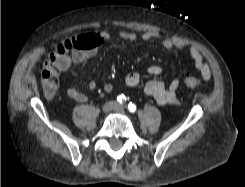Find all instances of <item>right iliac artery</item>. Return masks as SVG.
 I'll use <instances>...</instances> for the list:
<instances>
[{
  "label": "right iliac artery",
  "mask_w": 245,
  "mask_h": 187,
  "mask_svg": "<svg viewBox=\"0 0 245 187\" xmlns=\"http://www.w3.org/2000/svg\"><path fill=\"white\" fill-rule=\"evenodd\" d=\"M117 101H118L119 103H123V102L126 101V97H125L123 94L118 95V96H117Z\"/></svg>",
  "instance_id": "right-iliac-artery-1"
}]
</instances>
